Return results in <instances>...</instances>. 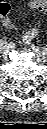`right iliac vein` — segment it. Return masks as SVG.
Wrapping results in <instances>:
<instances>
[{"label": "right iliac vein", "mask_w": 47, "mask_h": 129, "mask_svg": "<svg viewBox=\"0 0 47 129\" xmlns=\"http://www.w3.org/2000/svg\"><path fill=\"white\" fill-rule=\"evenodd\" d=\"M8 46L7 44L6 45H1L0 46V53H5L7 50H8Z\"/></svg>", "instance_id": "63e3f726"}]
</instances>
